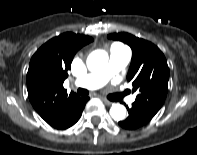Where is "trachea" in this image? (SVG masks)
Listing matches in <instances>:
<instances>
[{
  "label": "trachea",
  "instance_id": "1",
  "mask_svg": "<svg viewBox=\"0 0 197 155\" xmlns=\"http://www.w3.org/2000/svg\"><path fill=\"white\" fill-rule=\"evenodd\" d=\"M77 92H78L79 95H82V96L88 94V91L85 90V89H82V88H79ZM123 96H124V94H115V95H113V96H110L109 99H110V100H113V101H117V100L122 99Z\"/></svg>",
  "mask_w": 197,
  "mask_h": 155
}]
</instances>
